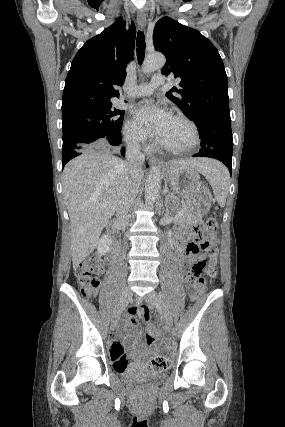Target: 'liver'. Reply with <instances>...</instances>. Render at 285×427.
Segmentation results:
<instances>
[{
    "label": "liver",
    "instance_id": "1",
    "mask_svg": "<svg viewBox=\"0 0 285 427\" xmlns=\"http://www.w3.org/2000/svg\"><path fill=\"white\" fill-rule=\"evenodd\" d=\"M171 163L191 166L205 175L216 161L186 158ZM124 165L110 153L93 152L78 156L64 168L63 198L70 217L74 270L93 252L101 231L117 209ZM143 174L142 170L137 175L139 185Z\"/></svg>",
    "mask_w": 285,
    "mask_h": 427
}]
</instances>
